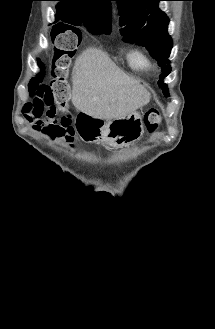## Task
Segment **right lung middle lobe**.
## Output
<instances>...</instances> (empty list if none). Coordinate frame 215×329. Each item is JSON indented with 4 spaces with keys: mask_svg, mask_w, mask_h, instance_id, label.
<instances>
[{
    "mask_svg": "<svg viewBox=\"0 0 215 329\" xmlns=\"http://www.w3.org/2000/svg\"><path fill=\"white\" fill-rule=\"evenodd\" d=\"M68 22H69L68 24H72V25H75V26H79L81 23H83L87 27V29L89 30V32L92 33V34H95V35H99L101 33H104V34H107V35L110 34V32H106L104 30H101L97 26H95V25H93L91 23H86L83 20V18H81V17H71L70 20H68ZM67 28L68 29H71L73 31L75 29L74 27H71V26H68V25H67Z\"/></svg>",
    "mask_w": 215,
    "mask_h": 329,
    "instance_id": "1",
    "label": "right lung middle lobe"
}]
</instances>
